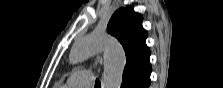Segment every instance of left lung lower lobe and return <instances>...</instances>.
I'll return each mask as SVG.
<instances>
[{
    "instance_id": "left-lung-lower-lobe-1",
    "label": "left lung lower lobe",
    "mask_w": 223,
    "mask_h": 88,
    "mask_svg": "<svg viewBox=\"0 0 223 88\" xmlns=\"http://www.w3.org/2000/svg\"><path fill=\"white\" fill-rule=\"evenodd\" d=\"M150 62L142 68L132 69L123 73L121 88H148L150 85Z\"/></svg>"
}]
</instances>
